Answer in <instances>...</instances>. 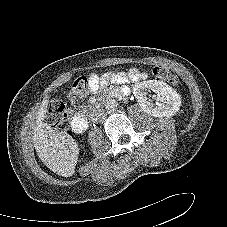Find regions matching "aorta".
<instances>
[{
    "instance_id": "762f6f07",
    "label": "aorta",
    "mask_w": 227,
    "mask_h": 227,
    "mask_svg": "<svg viewBox=\"0 0 227 227\" xmlns=\"http://www.w3.org/2000/svg\"><path fill=\"white\" fill-rule=\"evenodd\" d=\"M118 107V103L114 99H110L105 103V108L107 111H115Z\"/></svg>"
}]
</instances>
